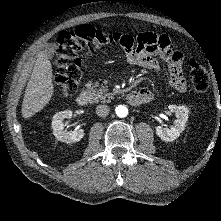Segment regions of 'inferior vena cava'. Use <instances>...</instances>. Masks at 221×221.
I'll return each mask as SVG.
<instances>
[{"label":"inferior vena cava","mask_w":221,"mask_h":221,"mask_svg":"<svg viewBox=\"0 0 221 221\" xmlns=\"http://www.w3.org/2000/svg\"><path fill=\"white\" fill-rule=\"evenodd\" d=\"M109 111L110 108L107 105H99L96 107V114L100 117H106Z\"/></svg>","instance_id":"1"}]
</instances>
